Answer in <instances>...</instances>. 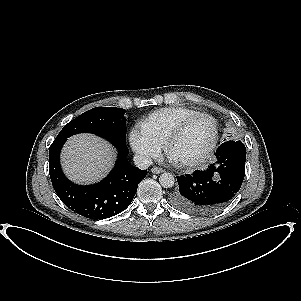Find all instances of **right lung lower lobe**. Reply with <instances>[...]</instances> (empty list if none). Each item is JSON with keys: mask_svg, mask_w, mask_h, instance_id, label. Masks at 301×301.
Here are the masks:
<instances>
[{"mask_svg": "<svg viewBox=\"0 0 301 301\" xmlns=\"http://www.w3.org/2000/svg\"><path fill=\"white\" fill-rule=\"evenodd\" d=\"M66 140L56 138L49 150L50 178L60 200L72 211L90 219H105L124 211L147 173L127 161L129 150L126 144L107 139L119 153L114 169L101 182L80 186L70 182L60 167L59 155Z\"/></svg>", "mask_w": 301, "mask_h": 301, "instance_id": "98d812e1", "label": "right lung lower lobe"}]
</instances>
